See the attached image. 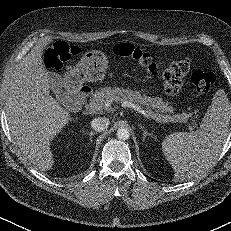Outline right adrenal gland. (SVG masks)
<instances>
[{
	"instance_id": "obj_1",
	"label": "right adrenal gland",
	"mask_w": 231,
	"mask_h": 231,
	"mask_svg": "<svg viewBox=\"0 0 231 231\" xmlns=\"http://www.w3.org/2000/svg\"><path fill=\"white\" fill-rule=\"evenodd\" d=\"M87 135H89V139L92 142V136L95 135V132L91 131L89 133H86Z\"/></svg>"
}]
</instances>
